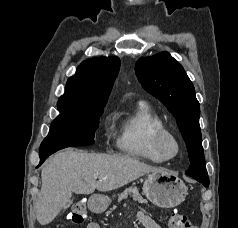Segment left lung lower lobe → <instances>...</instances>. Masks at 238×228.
Returning <instances> with one entry per match:
<instances>
[{"label":"left lung lower lobe","instance_id":"0a47b994","mask_svg":"<svg viewBox=\"0 0 238 228\" xmlns=\"http://www.w3.org/2000/svg\"><path fill=\"white\" fill-rule=\"evenodd\" d=\"M187 175L193 177L194 179H196L197 181H199L200 183H202L205 187L209 186V179L208 176L205 175H195V174H188Z\"/></svg>","mask_w":238,"mask_h":228}]
</instances>
